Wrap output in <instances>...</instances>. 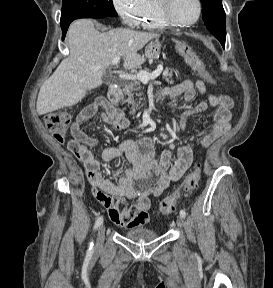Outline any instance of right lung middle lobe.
<instances>
[{
  "instance_id": "dd1d6c3e",
  "label": "right lung middle lobe",
  "mask_w": 273,
  "mask_h": 288,
  "mask_svg": "<svg viewBox=\"0 0 273 288\" xmlns=\"http://www.w3.org/2000/svg\"><path fill=\"white\" fill-rule=\"evenodd\" d=\"M115 17L117 13L112 0H63L61 27L78 18Z\"/></svg>"
}]
</instances>
